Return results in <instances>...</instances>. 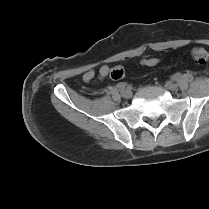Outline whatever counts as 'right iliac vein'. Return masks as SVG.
<instances>
[{
    "label": "right iliac vein",
    "instance_id": "63e3f726",
    "mask_svg": "<svg viewBox=\"0 0 209 209\" xmlns=\"http://www.w3.org/2000/svg\"><path fill=\"white\" fill-rule=\"evenodd\" d=\"M121 95L124 98H130L132 96V92L129 89H124L121 91Z\"/></svg>",
    "mask_w": 209,
    "mask_h": 209
}]
</instances>
